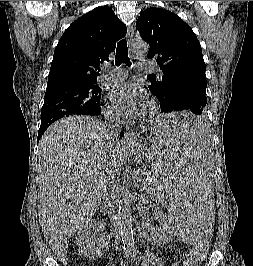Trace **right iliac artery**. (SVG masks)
Segmentation results:
<instances>
[{"label": "right iliac artery", "instance_id": "82829eb1", "mask_svg": "<svg viewBox=\"0 0 253 266\" xmlns=\"http://www.w3.org/2000/svg\"><path fill=\"white\" fill-rule=\"evenodd\" d=\"M124 250H125V256H126V258H128L129 255L131 254V249L129 247H126V248H124Z\"/></svg>", "mask_w": 253, "mask_h": 266}]
</instances>
